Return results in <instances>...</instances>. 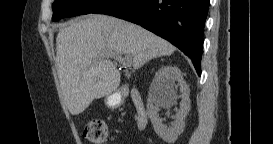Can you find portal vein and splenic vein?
<instances>
[{
	"mask_svg": "<svg viewBox=\"0 0 273 144\" xmlns=\"http://www.w3.org/2000/svg\"><path fill=\"white\" fill-rule=\"evenodd\" d=\"M108 58H113L117 60L120 63H123L124 65H129L131 62V57L129 55H125L124 58L121 57V54H116V53H109L107 55Z\"/></svg>",
	"mask_w": 273,
	"mask_h": 144,
	"instance_id": "obj_1",
	"label": "portal vein and splenic vein"
}]
</instances>
